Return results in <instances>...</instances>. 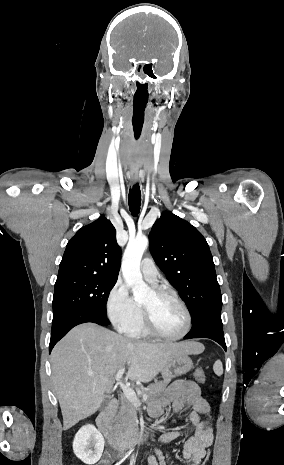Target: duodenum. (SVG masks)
Wrapping results in <instances>:
<instances>
[{
	"label": "duodenum",
	"mask_w": 284,
	"mask_h": 465,
	"mask_svg": "<svg viewBox=\"0 0 284 465\" xmlns=\"http://www.w3.org/2000/svg\"><path fill=\"white\" fill-rule=\"evenodd\" d=\"M117 406V401L111 399L100 410L96 418V426L104 435L109 444L116 450H124L145 439V432L141 428L123 433L118 431L111 422L112 412Z\"/></svg>",
	"instance_id": "410a0bca"
}]
</instances>
